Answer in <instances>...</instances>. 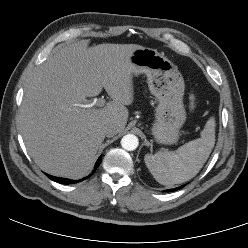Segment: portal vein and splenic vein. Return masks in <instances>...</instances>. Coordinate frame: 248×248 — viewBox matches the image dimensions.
I'll list each match as a JSON object with an SVG mask.
<instances>
[{
	"instance_id": "obj_1",
	"label": "portal vein and splenic vein",
	"mask_w": 248,
	"mask_h": 248,
	"mask_svg": "<svg viewBox=\"0 0 248 248\" xmlns=\"http://www.w3.org/2000/svg\"><path fill=\"white\" fill-rule=\"evenodd\" d=\"M105 105V100L100 98L88 104H79L78 106L83 109H97Z\"/></svg>"
}]
</instances>
